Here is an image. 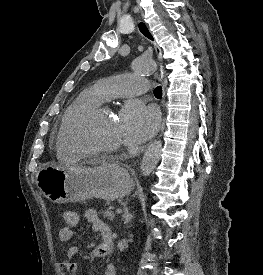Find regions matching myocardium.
<instances>
[{"label":"myocardium","mask_w":263,"mask_h":275,"mask_svg":"<svg viewBox=\"0 0 263 275\" xmlns=\"http://www.w3.org/2000/svg\"><path fill=\"white\" fill-rule=\"evenodd\" d=\"M113 113V110L104 104L95 106L86 112H84L78 119L74 122L72 127L67 133V139L71 145L78 150L84 156H96V155H110L119 152L122 146H112V147H95L85 144L79 138V132L91 124L96 119L100 118L105 114Z\"/></svg>","instance_id":"myocardium-1"}]
</instances>
